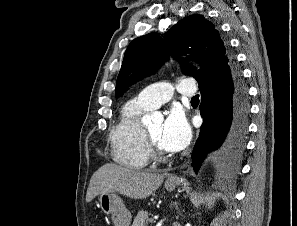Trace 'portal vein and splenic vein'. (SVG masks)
<instances>
[{
  "label": "portal vein and splenic vein",
  "mask_w": 297,
  "mask_h": 226,
  "mask_svg": "<svg viewBox=\"0 0 297 226\" xmlns=\"http://www.w3.org/2000/svg\"><path fill=\"white\" fill-rule=\"evenodd\" d=\"M154 219H155V220H158V216H155Z\"/></svg>",
  "instance_id": "1"
}]
</instances>
